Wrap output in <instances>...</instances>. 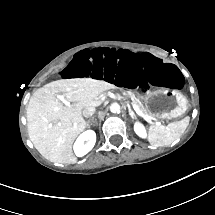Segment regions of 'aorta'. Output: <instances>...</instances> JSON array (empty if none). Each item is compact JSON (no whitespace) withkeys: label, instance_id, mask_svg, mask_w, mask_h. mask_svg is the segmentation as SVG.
<instances>
[{"label":"aorta","instance_id":"1","mask_svg":"<svg viewBox=\"0 0 215 215\" xmlns=\"http://www.w3.org/2000/svg\"><path fill=\"white\" fill-rule=\"evenodd\" d=\"M110 111L112 113H118L120 111V105L117 102H113L110 106Z\"/></svg>","mask_w":215,"mask_h":215}]
</instances>
